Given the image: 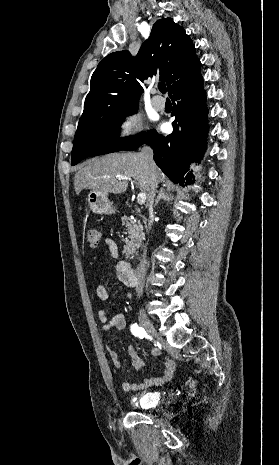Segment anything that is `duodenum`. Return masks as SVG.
I'll return each instance as SVG.
<instances>
[{
	"instance_id": "obj_1",
	"label": "duodenum",
	"mask_w": 279,
	"mask_h": 465,
	"mask_svg": "<svg viewBox=\"0 0 279 465\" xmlns=\"http://www.w3.org/2000/svg\"><path fill=\"white\" fill-rule=\"evenodd\" d=\"M120 279L125 285L130 287H133L137 284L136 272L130 264L123 263L121 265Z\"/></svg>"
}]
</instances>
